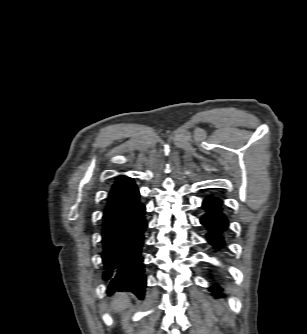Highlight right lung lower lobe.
I'll return each mask as SVG.
<instances>
[{"label":"right lung lower lobe","mask_w":307,"mask_h":334,"mask_svg":"<svg viewBox=\"0 0 307 334\" xmlns=\"http://www.w3.org/2000/svg\"><path fill=\"white\" fill-rule=\"evenodd\" d=\"M139 196L133 179L117 180L103 212L101 257L109 295L118 290L133 292L139 299L144 296L146 277L141 252L147 222Z\"/></svg>","instance_id":"right-lung-lower-lobe-1"}]
</instances>
